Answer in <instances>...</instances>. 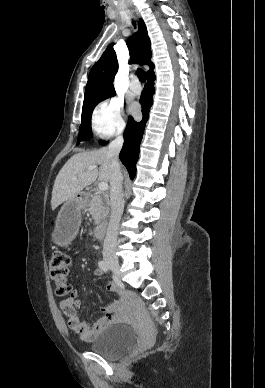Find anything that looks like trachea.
Segmentation results:
<instances>
[{
	"mask_svg": "<svg viewBox=\"0 0 265 388\" xmlns=\"http://www.w3.org/2000/svg\"><path fill=\"white\" fill-rule=\"evenodd\" d=\"M132 23L134 26L136 25L134 21ZM136 73H137L139 80L142 83H145L146 82V72L142 68H138Z\"/></svg>",
	"mask_w": 265,
	"mask_h": 388,
	"instance_id": "1",
	"label": "trachea"
}]
</instances>
